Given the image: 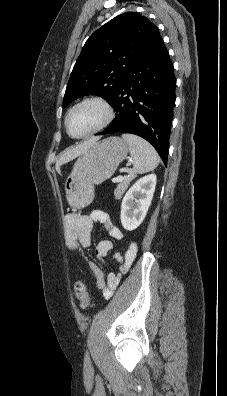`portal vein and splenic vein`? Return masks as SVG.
I'll return each mask as SVG.
<instances>
[{
	"label": "portal vein and splenic vein",
	"instance_id": "1",
	"mask_svg": "<svg viewBox=\"0 0 227 396\" xmlns=\"http://www.w3.org/2000/svg\"><path fill=\"white\" fill-rule=\"evenodd\" d=\"M122 179H123V176H121V175H119V176L116 178L117 182H120Z\"/></svg>",
	"mask_w": 227,
	"mask_h": 396
}]
</instances>
